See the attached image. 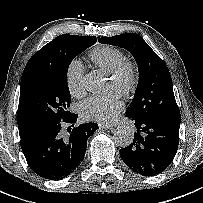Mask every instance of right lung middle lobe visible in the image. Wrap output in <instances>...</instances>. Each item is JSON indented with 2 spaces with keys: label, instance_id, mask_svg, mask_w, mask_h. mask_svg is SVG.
<instances>
[{
  "label": "right lung middle lobe",
  "instance_id": "dd1d6c3e",
  "mask_svg": "<svg viewBox=\"0 0 203 203\" xmlns=\"http://www.w3.org/2000/svg\"><path fill=\"white\" fill-rule=\"evenodd\" d=\"M95 42L92 39L75 42L60 51L50 63L32 68L22 75L21 102L42 130L72 114L68 111L71 101L67 83L68 67L75 56Z\"/></svg>",
  "mask_w": 203,
  "mask_h": 203
}]
</instances>
